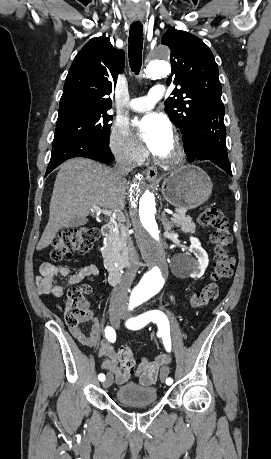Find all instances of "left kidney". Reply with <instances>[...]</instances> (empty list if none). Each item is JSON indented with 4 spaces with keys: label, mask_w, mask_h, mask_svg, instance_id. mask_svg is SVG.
<instances>
[{
    "label": "left kidney",
    "mask_w": 271,
    "mask_h": 459,
    "mask_svg": "<svg viewBox=\"0 0 271 459\" xmlns=\"http://www.w3.org/2000/svg\"><path fill=\"white\" fill-rule=\"evenodd\" d=\"M191 245L189 247L190 251H193L195 257H190L189 265L187 269V273H189L190 277H194V279H198L203 275L208 263V255L201 247V243L197 237H190ZM190 255V253H189Z\"/></svg>",
    "instance_id": "5707ae66"
}]
</instances>
